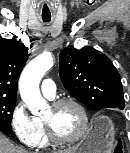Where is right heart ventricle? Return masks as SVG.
Listing matches in <instances>:
<instances>
[{
  "mask_svg": "<svg viewBox=\"0 0 130 153\" xmlns=\"http://www.w3.org/2000/svg\"><path fill=\"white\" fill-rule=\"evenodd\" d=\"M35 127L38 133V139L35 146L41 148L49 144V137L44 125V121L41 117H34Z\"/></svg>",
  "mask_w": 130,
  "mask_h": 153,
  "instance_id": "right-heart-ventricle-1",
  "label": "right heart ventricle"
}]
</instances>
